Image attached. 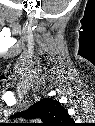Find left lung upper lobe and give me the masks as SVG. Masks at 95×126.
Segmentation results:
<instances>
[{
    "mask_svg": "<svg viewBox=\"0 0 95 126\" xmlns=\"http://www.w3.org/2000/svg\"><path fill=\"white\" fill-rule=\"evenodd\" d=\"M13 117L40 118L44 121L41 126H66L71 121L67 110L52 98H43L26 111L14 114Z\"/></svg>",
    "mask_w": 95,
    "mask_h": 126,
    "instance_id": "obj_1",
    "label": "left lung upper lobe"
}]
</instances>
